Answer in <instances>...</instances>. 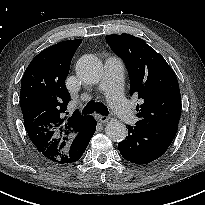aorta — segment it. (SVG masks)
Here are the masks:
<instances>
[{"label": "aorta", "instance_id": "762f6f07", "mask_svg": "<svg viewBox=\"0 0 205 205\" xmlns=\"http://www.w3.org/2000/svg\"><path fill=\"white\" fill-rule=\"evenodd\" d=\"M102 65L94 55L82 56L76 64L77 77L86 84L99 83L102 76ZM106 135L114 142L123 141L127 136L126 126L116 120H110L105 128Z\"/></svg>", "mask_w": 205, "mask_h": 205}]
</instances>
